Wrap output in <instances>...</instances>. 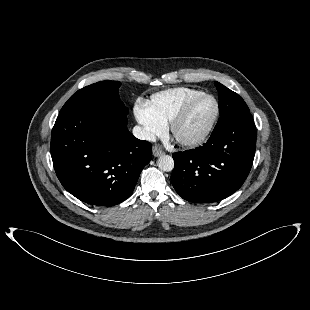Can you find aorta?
Returning <instances> with one entry per match:
<instances>
[{"label":"aorta","instance_id":"aorta-1","mask_svg":"<svg viewBox=\"0 0 310 310\" xmlns=\"http://www.w3.org/2000/svg\"><path fill=\"white\" fill-rule=\"evenodd\" d=\"M157 165L160 170L164 172H170L174 168V160L169 155H162L157 161Z\"/></svg>","mask_w":310,"mask_h":310}]
</instances>
